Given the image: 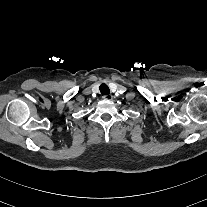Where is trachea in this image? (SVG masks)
<instances>
[{
    "label": "trachea",
    "instance_id": "3493384b",
    "mask_svg": "<svg viewBox=\"0 0 207 207\" xmlns=\"http://www.w3.org/2000/svg\"><path fill=\"white\" fill-rule=\"evenodd\" d=\"M99 89H100L101 94H103V95L110 93V90H109L108 86L105 83H102L100 85Z\"/></svg>",
    "mask_w": 207,
    "mask_h": 207
}]
</instances>
